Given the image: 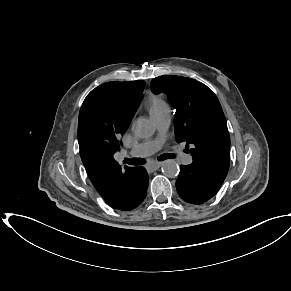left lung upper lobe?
I'll use <instances>...</instances> for the list:
<instances>
[{"label":"left lung upper lobe","mask_w":291,"mask_h":291,"mask_svg":"<svg viewBox=\"0 0 291 291\" xmlns=\"http://www.w3.org/2000/svg\"><path fill=\"white\" fill-rule=\"evenodd\" d=\"M151 88L154 93H165L176 108L175 137L186 143L192 164L224 180L229 169L230 137L213 91L199 81L173 75L154 78Z\"/></svg>","instance_id":"5c2ea615"}]
</instances>
